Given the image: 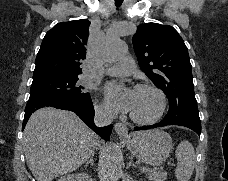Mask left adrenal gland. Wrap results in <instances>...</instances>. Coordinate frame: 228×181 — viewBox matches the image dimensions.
Listing matches in <instances>:
<instances>
[{
  "label": "left adrenal gland",
  "mask_w": 228,
  "mask_h": 181,
  "mask_svg": "<svg viewBox=\"0 0 228 181\" xmlns=\"http://www.w3.org/2000/svg\"><path fill=\"white\" fill-rule=\"evenodd\" d=\"M129 167H136V165H134V163H133V157H131V159L127 165V169H129Z\"/></svg>",
  "instance_id": "a2214340"
}]
</instances>
